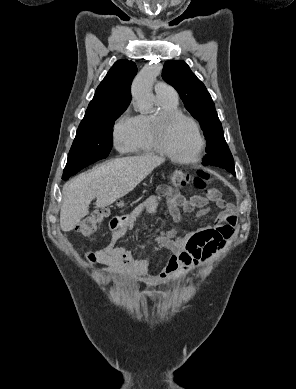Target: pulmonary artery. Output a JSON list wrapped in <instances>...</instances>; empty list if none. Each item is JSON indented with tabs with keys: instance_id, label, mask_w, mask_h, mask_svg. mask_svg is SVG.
Listing matches in <instances>:
<instances>
[{
	"instance_id": "1",
	"label": "pulmonary artery",
	"mask_w": 296,
	"mask_h": 389,
	"mask_svg": "<svg viewBox=\"0 0 296 389\" xmlns=\"http://www.w3.org/2000/svg\"><path fill=\"white\" fill-rule=\"evenodd\" d=\"M155 92L157 95H164V96L177 98V93L175 89L165 82H158L155 85Z\"/></svg>"
}]
</instances>
